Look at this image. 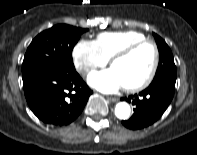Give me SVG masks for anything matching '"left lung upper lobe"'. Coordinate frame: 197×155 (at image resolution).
<instances>
[{
	"mask_svg": "<svg viewBox=\"0 0 197 155\" xmlns=\"http://www.w3.org/2000/svg\"><path fill=\"white\" fill-rule=\"evenodd\" d=\"M153 35L159 50L160 61L152 82L166 81L175 84L177 71L172 52L169 46L160 36L155 33H153Z\"/></svg>",
	"mask_w": 197,
	"mask_h": 155,
	"instance_id": "obj_1",
	"label": "left lung upper lobe"
}]
</instances>
